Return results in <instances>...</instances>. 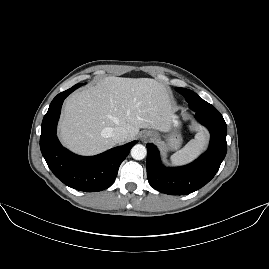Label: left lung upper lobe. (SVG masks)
<instances>
[{"label": "left lung upper lobe", "instance_id": "left-lung-upper-lobe-1", "mask_svg": "<svg viewBox=\"0 0 269 269\" xmlns=\"http://www.w3.org/2000/svg\"><path fill=\"white\" fill-rule=\"evenodd\" d=\"M176 90L182 94L186 101L189 103V107L192 110H212L215 109L211 104L207 103L201 99L195 92L185 89V88H176Z\"/></svg>", "mask_w": 269, "mask_h": 269}]
</instances>
